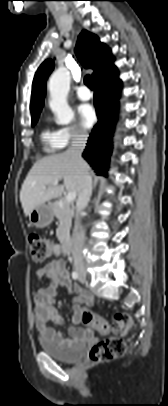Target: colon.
I'll list each match as a JSON object with an SVG mask.
<instances>
[{"instance_id": "5ec220e1", "label": "colon", "mask_w": 168, "mask_h": 406, "mask_svg": "<svg viewBox=\"0 0 168 406\" xmlns=\"http://www.w3.org/2000/svg\"><path fill=\"white\" fill-rule=\"evenodd\" d=\"M31 258L36 263H41L49 258L53 252V244L44 236L33 233L28 238ZM84 323H93L101 334H112L96 342L88 355L92 363H101L121 357L126 350L123 337L132 326V319L128 314L117 313L111 319L95 316L90 312L82 313Z\"/></svg>"}]
</instances>
